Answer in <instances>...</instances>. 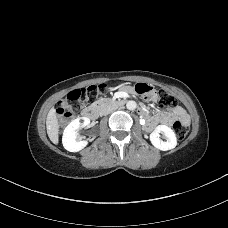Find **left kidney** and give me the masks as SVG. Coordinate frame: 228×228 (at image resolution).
<instances>
[{
	"mask_svg": "<svg viewBox=\"0 0 228 228\" xmlns=\"http://www.w3.org/2000/svg\"><path fill=\"white\" fill-rule=\"evenodd\" d=\"M160 134H163L166 141L160 138ZM150 141L154 147L162 151L171 150L177 145L175 132L166 125H158L150 134Z\"/></svg>",
	"mask_w": 228,
	"mask_h": 228,
	"instance_id": "1",
	"label": "left kidney"
}]
</instances>
